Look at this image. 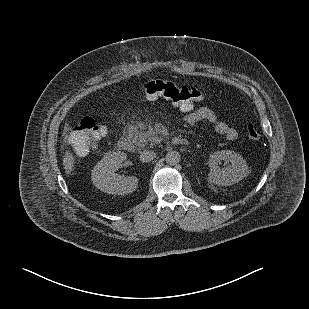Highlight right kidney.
I'll return each instance as SVG.
<instances>
[{"label": "right kidney", "instance_id": "1", "mask_svg": "<svg viewBox=\"0 0 309 309\" xmlns=\"http://www.w3.org/2000/svg\"><path fill=\"white\" fill-rule=\"evenodd\" d=\"M125 159L126 154L120 151L106 155L92 171L94 186L112 195H126L134 192L138 186V178L124 177L116 173Z\"/></svg>", "mask_w": 309, "mask_h": 309}]
</instances>
